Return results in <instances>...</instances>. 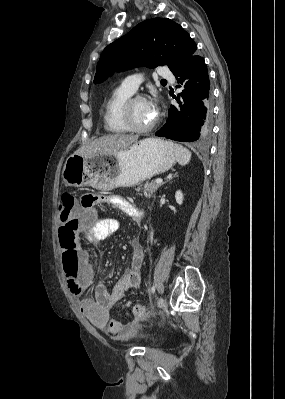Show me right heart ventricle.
<instances>
[{
    "instance_id": "e07e8e85",
    "label": "right heart ventricle",
    "mask_w": 285,
    "mask_h": 399,
    "mask_svg": "<svg viewBox=\"0 0 285 399\" xmlns=\"http://www.w3.org/2000/svg\"><path fill=\"white\" fill-rule=\"evenodd\" d=\"M132 95L130 91L121 85L114 89L105 102L104 124L105 128L114 134L129 132L122 120V107L124 102Z\"/></svg>"
}]
</instances>
